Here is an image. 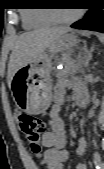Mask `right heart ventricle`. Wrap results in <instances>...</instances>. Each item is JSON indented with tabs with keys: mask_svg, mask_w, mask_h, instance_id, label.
Returning <instances> with one entry per match:
<instances>
[{
	"mask_svg": "<svg viewBox=\"0 0 104 169\" xmlns=\"http://www.w3.org/2000/svg\"><path fill=\"white\" fill-rule=\"evenodd\" d=\"M22 20L24 26L27 28H38L48 26L54 22L41 10L25 11L22 13Z\"/></svg>",
	"mask_w": 104,
	"mask_h": 169,
	"instance_id": "1",
	"label": "right heart ventricle"
}]
</instances>
